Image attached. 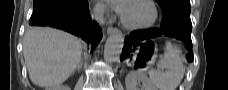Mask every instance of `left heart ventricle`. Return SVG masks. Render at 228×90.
<instances>
[{
	"label": "left heart ventricle",
	"instance_id": "1",
	"mask_svg": "<svg viewBox=\"0 0 228 90\" xmlns=\"http://www.w3.org/2000/svg\"><path fill=\"white\" fill-rule=\"evenodd\" d=\"M151 7L143 1H135L124 6L122 16L130 24H143L152 18Z\"/></svg>",
	"mask_w": 228,
	"mask_h": 90
}]
</instances>
